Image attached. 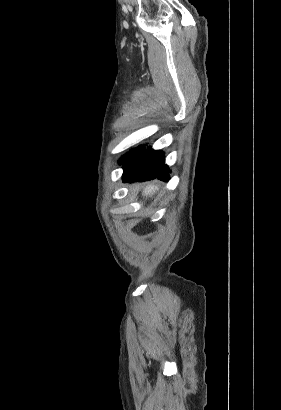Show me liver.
Returning a JSON list of instances; mask_svg holds the SVG:
<instances>
[{"instance_id":"6515ba94","label":"liver","mask_w":281,"mask_h":410,"mask_svg":"<svg viewBox=\"0 0 281 410\" xmlns=\"http://www.w3.org/2000/svg\"><path fill=\"white\" fill-rule=\"evenodd\" d=\"M158 191H159V186L154 185V184H148L143 191V195L153 197Z\"/></svg>"}]
</instances>
